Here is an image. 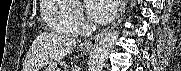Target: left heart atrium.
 <instances>
[{"label":"left heart atrium","mask_w":181,"mask_h":71,"mask_svg":"<svg viewBox=\"0 0 181 71\" xmlns=\"http://www.w3.org/2000/svg\"><path fill=\"white\" fill-rule=\"evenodd\" d=\"M120 1L91 0L88 1V13L97 23L108 22L118 11Z\"/></svg>","instance_id":"left-heart-atrium-1"}]
</instances>
